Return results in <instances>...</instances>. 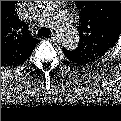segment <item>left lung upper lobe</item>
<instances>
[{"label":"left lung upper lobe","mask_w":121,"mask_h":121,"mask_svg":"<svg viewBox=\"0 0 121 121\" xmlns=\"http://www.w3.org/2000/svg\"><path fill=\"white\" fill-rule=\"evenodd\" d=\"M81 3L85 7H81L82 24L80 26V36H82V32L87 31L91 37L90 46L88 45L87 47L91 48L92 46V48L99 49V51H105L118 37V28L121 25V11L118 16V9L110 8L111 4L109 6L110 10H108L104 6L102 7L100 3Z\"/></svg>","instance_id":"1"}]
</instances>
